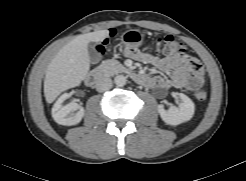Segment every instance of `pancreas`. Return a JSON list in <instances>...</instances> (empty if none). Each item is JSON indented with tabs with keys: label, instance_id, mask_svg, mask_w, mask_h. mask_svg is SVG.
<instances>
[{
	"label": "pancreas",
	"instance_id": "obj_1",
	"mask_svg": "<svg viewBox=\"0 0 246 181\" xmlns=\"http://www.w3.org/2000/svg\"><path fill=\"white\" fill-rule=\"evenodd\" d=\"M99 70L109 76L127 71V69L119 61L114 59L103 61L99 66Z\"/></svg>",
	"mask_w": 246,
	"mask_h": 181
}]
</instances>
